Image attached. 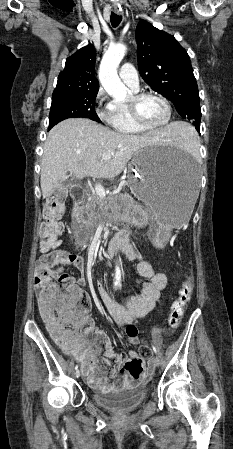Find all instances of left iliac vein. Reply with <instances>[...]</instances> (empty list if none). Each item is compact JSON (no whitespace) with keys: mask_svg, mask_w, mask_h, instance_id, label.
<instances>
[{"mask_svg":"<svg viewBox=\"0 0 233 449\" xmlns=\"http://www.w3.org/2000/svg\"><path fill=\"white\" fill-rule=\"evenodd\" d=\"M154 365L155 366H159L160 365V359L157 356L154 358Z\"/></svg>","mask_w":233,"mask_h":449,"instance_id":"1","label":"left iliac vein"}]
</instances>
